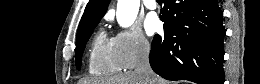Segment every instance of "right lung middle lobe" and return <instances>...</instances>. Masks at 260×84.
I'll use <instances>...</instances> for the list:
<instances>
[{"label": "right lung middle lobe", "mask_w": 260, "mask_h": 84, "mask_svg": "<svg viewBox=\"0 0 260 84\" xmlns=\"http://www.w3.org/2000/svg\"><path fill=\"white\" fill-rule=\"evenodd\" d=\"M99 21L90 25L87 29H85L80 35L76 37V49H75V58H76V67L80 69L81 60L85 45L91 36L93 29L97 26Z\"/></svg>", "instance_id": "dd1d6c3e"}]
</instances>
